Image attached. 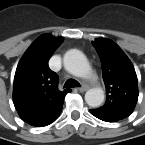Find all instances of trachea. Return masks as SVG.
I'll list each match as a JSON object with an SVG mask.
<instances>
[{"mask_svg":"<svg viewBox=\"0 0 145 145\" xmlns=\"http://www.w3.org/2000/svg\"><path fill=\"white\" fill-rule=\"evenodd\" d=\"M68 87H80V84L74 79H69L64 84V88Z\"/></svg>","mask_w":145,"mask_h":145,"instance_id":"trachea-1","label":"trachea"}]
</instances>
